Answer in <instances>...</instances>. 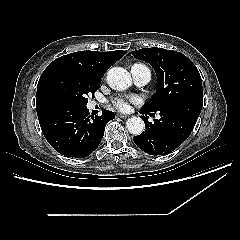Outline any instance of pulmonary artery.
Wrapping results in <instances>:
<instances>
[{
  "mask_svg": "<svg viewBox=\"0 0 240 240\" xmlns=\"http://www.w3.org/2000/svg\"><path fill=\"white\" fill-rule=\"evenodd\" d=\"M131 74L138 86H143L151 80L150 70L142 64H134L131 68Z\"/></svg>",
  "mask_w": 240,
  "mask_h": 240,
  "instance_id": "pulmonary-artery-1",
  "label": "pulmonary artery"
}]
</instances>
